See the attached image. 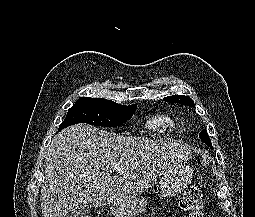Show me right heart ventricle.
Listing matches in <instances>:
<instances>
[{
    "label": "right heart ventricle",
    "instance_id": "1",
    "mask_svg": "<svg viewBox=\"0 0 255 217\" xmlns=\"http://www.w3.org/2000/svg\"><path fill=\"white\" fill-rule=\"evenodd\" d=\"M149 125L155 129H167L175 125L174 120L168 115H157L149 121Z\"/></svg>",
    "mask_w": 255,
    "mask_h": 217
}]
</instances>
